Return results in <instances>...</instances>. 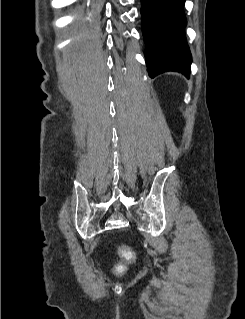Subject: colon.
Masks as SVG:
<instances>
[{
  "label": "colon",
  "instance_id": "colon-1",
  "mask_svg": "<svg viewBox=\"0 0 245 319\" xmlns=\"http://www.w3.org/2000/svg\"><path fill=\"white\" fill-rule=\"evenodd\" d=\"M120 254L128 259V260H133L135 258V255L133 253V251L130 248L127 247H123L120 249Z\"/></svg>",
  "mask_w": 245,
  "mask_h": 319
}]
</instances>
